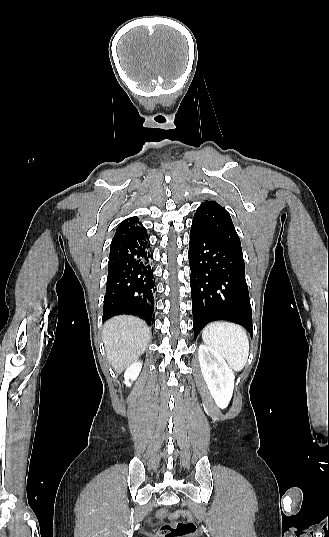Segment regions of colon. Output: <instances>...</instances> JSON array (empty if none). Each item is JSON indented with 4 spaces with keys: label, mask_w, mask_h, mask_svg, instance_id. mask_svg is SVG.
<instances>
[{
    "label": "colon",
    "mask_w": 329,
    "mask_h": 537,
    "mask_svg": "<svg viewBox=\"0 0 329 537\" xmlns=\"http://www.w3.org/2000/svg\"><path fill=\"white\" fill-rule=\"evenodd\" d=\"M156 516L162 520H167L171 517V512L162 509L156 513ZM172 517L181 520H171L164 523L158 531L160 537H192L197 532V527L187 510H177L173 512Z\"/></svg>",
    "instance_id": "colon-1"
}]
</instances>
